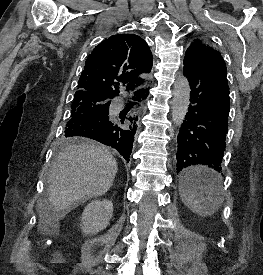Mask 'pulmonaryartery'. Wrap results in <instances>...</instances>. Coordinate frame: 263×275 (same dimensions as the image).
I'll list each match as a JSON object with an SVG mask.
<instances>
[{
	"mask_svg": "<svg viewBox=\"0 0 263 275\" xmlns=\"http://www.w3.org/2000/svg\"><path fill=\"white\" fill-rule=\"evenodd\" d=\"M121 105H122L121 100H119V99L115 100V102H114V107H115L116 109L120 108Z\"/></svg>",
	"mask_w": 263,
	"mask_h": 275,
	"instance_id": "obj_1",
	"label": "pulmonary artery"
}]
</instances>
